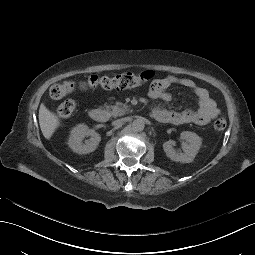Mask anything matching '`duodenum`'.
<instances>
[{"instance_id": "obj_1", "label": "duodenum", "mask_w": 255, "mask_h": 255, "mask_svg": "<svg viewBox=\"0 0 255 255\" xmlns=\"http://www.w3.org/2000/svg\"><path fill=\"white\" fill-rule=\"evenodd\" d=\"M88 115L92 120L97 122H105L108 119L107 112L100 107L90 109ZM152 116L155 120L161 123H168L171 120V114L162 109H154Z\"/></svg>"}]
</instances>
